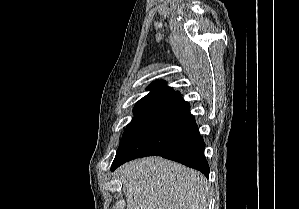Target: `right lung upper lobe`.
Listing matches in <instances>:
<instances>
[{"label": "right lung upper lobe", "instance_id": "1", "mask_svg": "<svg viewBox=\"0 0 299 209\" xmlns=\"http://www.w3.org/2000/svg\"><path fill=\"white\" fill-rule=\"evenodd\" d=\"M148 90H150V93L141 98L136 104L160 105L176 93L172 87L166 86V83L162 80L153 82L149 85Z\"/></svg>", "mask_w": 299, "mask_h": 209}]
</instances>
